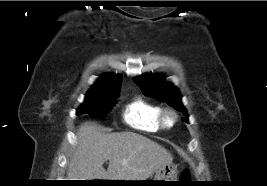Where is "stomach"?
Listing matches in <instances>:
<instances>
[{
  "instance_id": "0dacf381",
  "label": "stomach",
  "mask_w": 267,
  "mask_h": 186,
  "mask_svg": "<svg viewBox=\"0 0 267 186\" xmlns=\"http://www.w3.org/2000/svg\"><path fill=\"white\" fill-rule=\"evenodd\" d=\"M178 170L177 166L173 163L166 164L162 166L154 175L151 180H143V181H153L147 182L144 185H152V186H168L172 185L170 183L173 182H164V181H177Z\"/></svg>"
}]
</instances>
